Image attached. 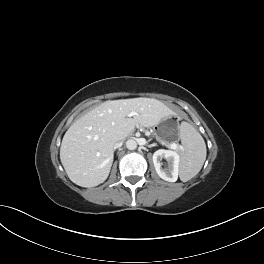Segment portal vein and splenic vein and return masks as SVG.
<instances>
[{
	"instance_id": "18ae733b",
	"label": "portal vein and splenic vein",
	"mask_w": 264,
	"mask_h": 264,
	"mask_svg": "<svg viewBox=\"0 0 264 264\" xmlns=\"http://www.w3.org/2000/svg\"><path fill=\"white\" fill-rule=\"evenodd\" d=\"M134 115V113H132V114H130V116H133ZM169 146L172 148V149H177V144H175V143H171V144H169Z\"/></svg>"
}]
</instances>
